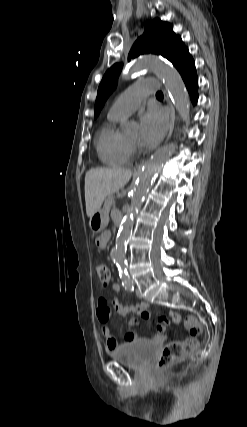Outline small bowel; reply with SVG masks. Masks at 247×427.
Instances as JSON below:
<instances>
[{
    "instance_id": "c3829d8e",
    "label": "small bowel",
    "mask_w": 247,
    "mask_h": 427,
    "mask_svg": "<svg viewBox=\"0 0 247 427\" xmlns=\"http://www.w3.org/2000/svg\"><path fill=\"white\" fill-rule=\"evenodd\" d=\"M111 237V233L109 231L103 232L96 240L97 246L100 248L106 247ZM112 289L115 292H120V286L118 284H113ZM114 310L121 316H127L129 314H136L140 316L143 320H148L150 318V309L149 304L146 302H141L135 305H124L119 297L113 298L110 302L106 298H100L98 301V307L96 310V315L99 322L102 324L101 332L103 337L106 340V346L110 351H115L128 343L137 339V335L135 332L128 330L124 336V340L121 343H118L116 339L113 337L107 322L109 320L111 311ZM168 317L161 316L157 320L156 329L157 334H155L152 338L155 341L161 342L164 339V332L166 327L169 325L170 320L174 323H179L181 320L180 315L175 311H170L168 313ZM138 323L137 318H133L129 321L128 327L131 328Z\"/></svg>"
}]
</instances>
